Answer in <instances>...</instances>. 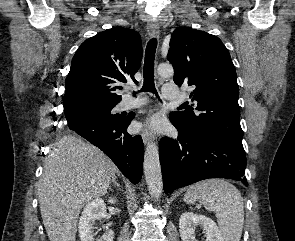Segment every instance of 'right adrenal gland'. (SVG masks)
<instances>
[{
	"instance_id": "obj_1",
	"label": "right adrenal gland",
	"mask_w": 295,
	"mask_h": 241,
	"mask_svg": "<svg viewBox=\"0 0 295 241\" xmlns=\"http://www.w3.org/2000/svg\"><path fill=\"white\" fill-rule=\"evenodd\" d=\"M111 183H113L114 186H117V188L120 189V185H119V183L117 182V176H116V175H114V176L112 177ZM108 188L111 190V184L109 185Z\"/></svg>"
}]
</instances>
